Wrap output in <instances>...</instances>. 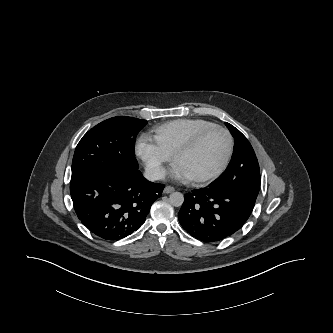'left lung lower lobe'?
I'll return each mask as SVG.
<instances>
[{
  "mask_svg": "<svg viewBox=\"0 0 333 333\" xmlns=\"http://www.w3.org/2000/svg\"><path fill=\"white\" fill-rule=\"evenodd\" d=\"M255 201L244 193L210 184L184 195L178 219L182 227L196 239L218 242L244 225Z\"/></svg>",
  "mask_w": 333,
  "mask_h": 333,
  "instance_id": "0a47b994",
  "label": "left lung lower lobe"
}]
</instances>
